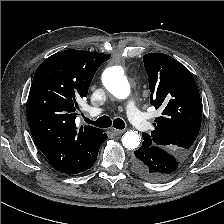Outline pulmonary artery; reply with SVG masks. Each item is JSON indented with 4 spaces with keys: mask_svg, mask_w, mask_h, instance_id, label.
I'll list each match as a JSON object with an SVG mask.
<instances>
[{
    "mask_svg": "<svg viewBox=\"0 0 224 224\" xmlns=\"http://www.w3.org/2000/svg\"><path fill=\"white\" fill-rule=\"evenodd\" d=\"M102 109H91L92 115H99ZM127 114L131 122L136 126L139 131H146L149 129V122L144 115L137 109L136 104L133 100L127 103Z\"/></svg>",
    "mask_w": 224,
    "mask_h": 224,
    "instance_id": "e3ab8cb5",
    "label": "pulmonary artery"
}]
</instances>
